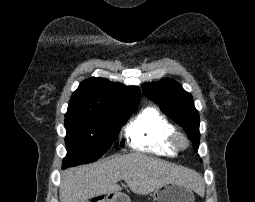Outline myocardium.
<instances>
[{"instance_id":"f54148a6","label":"myocardium","mask_w":255,"mask_h":202,"mask_svg":"<svg viewBox=\"0 0 255 202\" xmlns=\"http://www.w3.org/2000/svg\"><path fill=\"white\" fill-rule=\"evenodd\" d=\"M170 142L176 150H184L189 146L188 137L180 131H175L171 135Z\"/></svg>"}]
</instances>
